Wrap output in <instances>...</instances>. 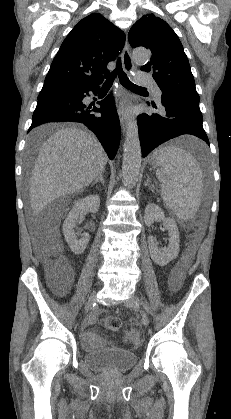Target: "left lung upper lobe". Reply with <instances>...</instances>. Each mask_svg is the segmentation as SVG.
Wrapping results in <instances>:
<instances>
[{
  "label": "left lung upper lobe",
  "mask_w": 231,
  "mask_h": 419,
  "mask_svg": "<svg viewBox=\"0 0 231 419\" xmlns=\"http://www.w3.org/2000/svg\"><path fill=\"white\" fill-rule=\"evenodd\" d=\"M132 47L143 46L151 51V59L141 67L153 72L163 95L199 99L195 81L183 46L173 29L154 14L144 15L128 34Z\"/></svg>",
  "instance_id": "5c2ea615"
}]
</instances>
